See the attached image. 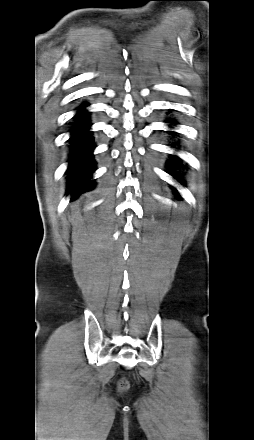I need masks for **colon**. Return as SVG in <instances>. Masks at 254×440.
I'll return each instance as SVG.
<instances>
[{
	"label": "colon",
	"instance_id": "colon-1",
	"mask_svg": "<svg viewBox=\"0 0 254 440\" xmlns=\"http://www.w3.org/2000/svg\"><path fill=\"white\" fill-rule=\"evenodd\" d=\"M128 386H129L128 382L126 380H122L119 383L118 388H119L120 391H124V390H126L128 388Z\"/></svg>",
	"mask_w": 254,
	"mask_h": 440
}]
</instances>
